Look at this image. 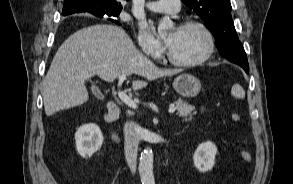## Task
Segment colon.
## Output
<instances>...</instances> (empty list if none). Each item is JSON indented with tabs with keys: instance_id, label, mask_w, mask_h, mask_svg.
Here are the masks:
<instances>
[{
	"instance_id": "1",
	"label": "colon",
	"mask_w": 293,
	"mask_h": 184,
	"mask_svg": "<svg viewBox=\"0 0 293 184\" xmlns=\"http://www.w3.org/2000/svg\"><path fill=\"white\" fill-rule=\"evenodd\" d=\"M231 118L233 121L238 122V121H240L241 116L239 113L235 112L232 114ZM240 156L245 162H250L252 160V156L247 150H242L240 152Z\"/></svg>"
}]
</instances>
